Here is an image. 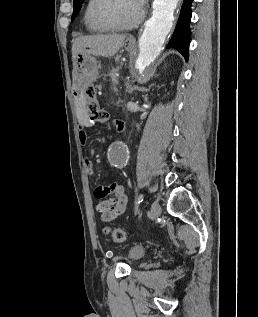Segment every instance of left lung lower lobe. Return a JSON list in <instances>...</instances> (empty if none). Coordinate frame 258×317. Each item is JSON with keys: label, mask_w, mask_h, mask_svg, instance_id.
Instances as JSON below:
<instances>
[{"label": "left lung lower lobe", "mask_w": 258, "mask_h": 317, "mask_svg": "<svg viewBox=\"0 0 258 317\" xmlns=\"http://www.w3.org/2000/svg\"><path fill=\"white\" fill-rule=\"evenodd\" d=\"M192 2L193 0H184L177 26L168 45L166 46V48H175L178 50L185 57L186 61H188V46L191 36L189 24L192 16Z\"/></svg>", "instance_id": "obj_1"}]
</instances>
